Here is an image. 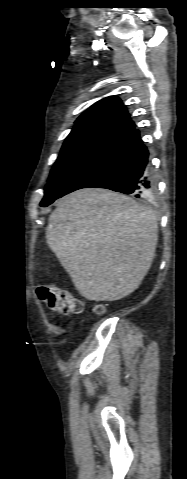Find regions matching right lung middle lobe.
I'll return each mask as SVG.
<instances>
[{
  "label": "right lung middle lobe",
  "mask_w": 187,
  "mask_h": 479,
  "mask_svg": "<svg viewBox=\"0 0 187 479\" xmlns=\"http://www.w3.org/2000/svg\"><path fill=\"white\" fill-rule=\"evenodd\" d=\"M126 134L103 126L72 130L51 170L40 205L42 207L50 205L80 172L106 153Z\"/></svg>",
  "instance_id": "obj_1"
}]
</instances>
